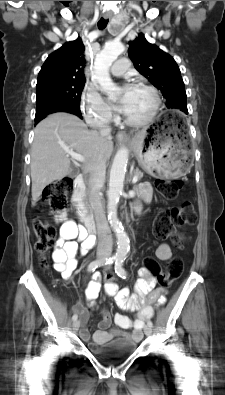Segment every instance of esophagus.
Wrapping results in <instances>:
<instances>
[{
	"label": "esophagus",
	"instance_id": "34e87169",
	"mask_svg": "<svg viewBox=\"0 0 225 395\" xmlns=\"http://www.w3.org/2000/svg\"><path fill=\"white\" fill-rule=\"evenodd\" d=\"M103 17H104L105 19H110V18L112 17V14H111V13H105V14L103 15ZM116 138H117L118 140H127V139H128V135H127V133L124 132V131H119V132L117 133V135H116Z\"/></svg>",
	"mask_w": 225,
	"mask_h": 395
}]
</instances>
